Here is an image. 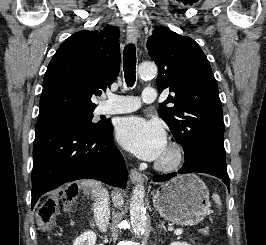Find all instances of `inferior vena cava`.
<instances>
[{"label":"inferior vena cava","mask_w":266,"mask_h":245,"mask_svg":"<svg viewBox=\"0 0 266 245\" xmlns=\"http://www.w3.org/2000/svg\"><path fill=\"white\" fill-rule=\"evenodd\" d=\"M93 213L96 225L99 231L105 233L110 219L109 195L107 189H100L99 193L94 195Z\"/></svg>","instance_id":"inferior-vena-cava-1"}]
</instances>
